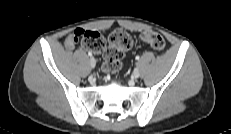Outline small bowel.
Segmentation results:
<instances>
[{
	"label": "small bowel",
	"mask_w": 231,
	"mask_h": 134,
	"mask_svg": "<svg viewBox=\"0 0 231 134\" xmlns=\"http://www.w3.org/2000/svg\"><path fill=\"white\" fill-rule=\"evenodd\" d=\"M77 41L73 39V33L70 34L65 40V46L68 50H73L75 48Z\"/></svg>",
	"instance_id": "1"
}]
</instances>
